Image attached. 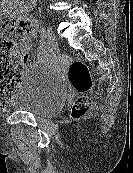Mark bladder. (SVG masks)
Returning <instances> with one entry per match:
<instances>
[{"label": "bladder", "instance_id": "obj_1", "mask_svg": "<svg viewBox=\"0 0 133 173\" xmlns=\"http://www.w3.org/2000/svg\"><path fill=\"white\" fill-rule=\"evenodd\" d=\"M66 94L62 77L47 65H37L25 72L10 108L48 118L60 111Z\"/></svg>", "mask_w": 133, "mask_h": 173}]
</instances>
